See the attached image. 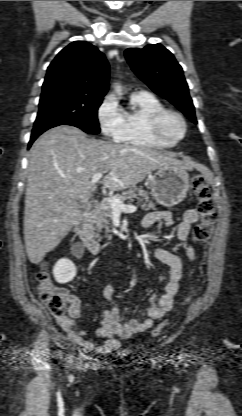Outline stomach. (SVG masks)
<instances>
[{"mask_svg":"<svg viewBox=\"0 0 242 416\" xmlns=\"http://www.w3.org/2000/svg\"><path fill=\"white\" fill-rule=\"evenodd\" d=\"M151 195L158 204L173 207L182 202L189 190V175L184 168L162 166L150 176Z\"/></svg>","mask_w":242,"mask_h":416,"instance_id":"stomach-1","label":"stomach"}]
</instances>
